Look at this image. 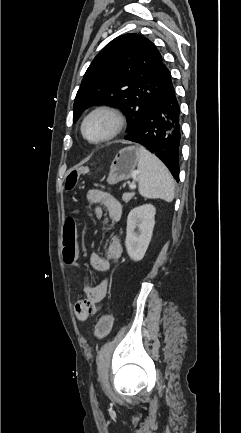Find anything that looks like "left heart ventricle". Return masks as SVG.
Segmentation results:
<instances>
[{
	"label": "left heart ventricle",
	"instance_id": "obj_1",
	"mask_svg": "<svg viewBox=\"0 0 241 433\" xmlns=\"http://www.w3.org/2000/svg\"><path fill=\"white\" fill-rule=\"evenodd\" d=\"M111 126L112 122L108 116L97 115L87 122L85 133L90 139H99L109 132Z\"/></svg>",
	"mask_w": 241,
	"mask_h": 433
}]
</instances>
